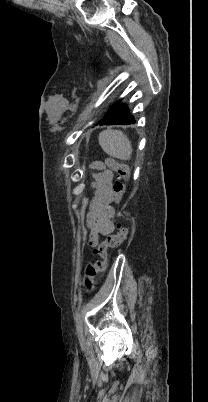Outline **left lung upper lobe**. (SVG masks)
<instances>
[{"label": "left lung upper lobe", "mask_w": 208, "mask_h": 402, "mask_svg": "<svg viewBox=\"0 0 208 402\" xmlns=\"http://www.w3.org/2000/svg\"><path fill=\"white\" fill-rule=\"evenodd\" d=\"M118 103H119V101H118V102H116V103H115V105H117ZM115 105H114V106H115Z\"/></svg>", "instance_id": "1"}]
</instances>
